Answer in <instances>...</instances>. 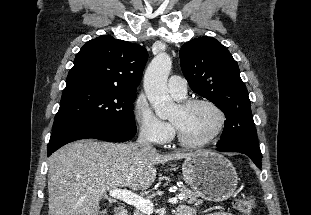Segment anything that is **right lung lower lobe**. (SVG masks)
<instances>
[{"label":"right lung lower lobe","mask_w":311,"mask_h":215,"mask_svg":"<svg viewBox=\"0 0 311 215\" xmlns=\"http://www.w3.org/2000/svg\"><path fill=\"white\" fill-rule=\"evenodd\" d=\"M136 133L133 129L114 128H68L52 132L48 143V156L61 146L80 139L95 138L109 142H124L130 140Z\"/></svg>","instance_id":"obj_1"}]
</instances>
